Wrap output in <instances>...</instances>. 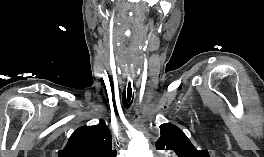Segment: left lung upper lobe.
<instances>
[{
  "instance_id": "left-lung-upper-lobe-1",
  "label": "left lung upper lobe",
  "mask_w": 264,
  "mask_h": 157,
  "mask_svg": "<svg viewBox=\"0 0 264 157\" xmlns=\"http://www.w3.org/2000/svg\"><path fill=\"white\" fill-rule=\"evenodd\" d=\"M160 130L156 142L158 150H173L177 157H209L207 150H197L177 126L165 123L160 126Z\"/></svg>"
}]
</instances>
